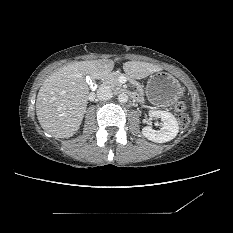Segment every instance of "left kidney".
<instances>
[{
	"label": "left kidney",
	"mask_w": 233,
	"mask_h": 233,
	"mask_svg": "<svg viewBox=\"0 0 233 233\" xmlns=\"http://www.w3.org/2000/svg\"><path fill=\"white\" fill-rule=\"evenodd\" d=\"M150 115L154 118H160L163 123L160 130H154L149 126L144 127L142 129L143 136L156 143H165L176 137L179 132V126L172 113L162 110H152Z\"/></svg>",
	"instance_id": "5707ae66"
}]
</instances>
